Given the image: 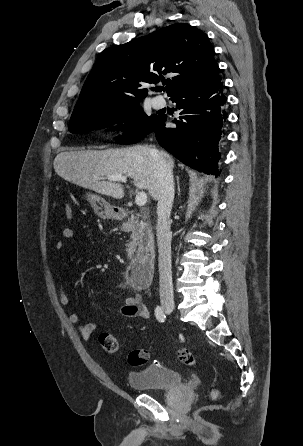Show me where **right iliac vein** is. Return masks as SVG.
<instances>
[{"mask_svg": "<svg viewBox=\"0 0 303 446\" xmlns=\"http://www.w3.org/2000/svg\"><path fill=\"white\" fill-rule=\"evenodd\" d=\"M164 307L169 312H172L174 310V305L173 304H166Z\"/></svg>", "mask_w": 303, "mask_h": 446, "instance_id": "1", "label": "right iliac vein"}]
</instances>
